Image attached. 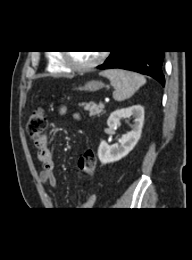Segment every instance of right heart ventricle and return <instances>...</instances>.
<instances>
[{"mask_svg":"<svg viewBox=\"0 0 192 260\" xmlns=\"http://www.w3.org/2000/svg\"><path fill=\"white\" fill-rule=\"evenodd\" d=\"M48 70L52 73H68L70 71V69L63 64L59 53L49 54Z\"/></svg>","mask_w":192,"mask_h":260,"instance_id":"1","label":"right heart ventricle"}]
</instances>
